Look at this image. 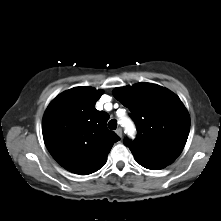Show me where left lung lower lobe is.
Masks as SVG:
<instances>
[{
	"label": "left lung lower lobe",
	"instance_id": "0a47b994",
	"mask_svg": "<svg viewBox=\"0 0 221 221\" xmlns=\"http://www.w3.org/2000/svg\"><path fill=\"white\" fill-rule=\"evenodd\" d=\"M136 161L142 165L143 167L147 168V169H151V170H158V169H162L164 167H166L167 165H169L172 162H167V161H162V162H150V161H144V160H139L136 159Z\"/></svg>",
	"mask_w": 221,
	"mask_h": 221
}]
</instances>
